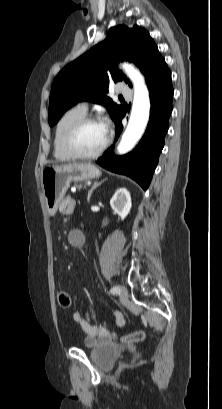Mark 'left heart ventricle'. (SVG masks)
Wrapping results in <instances>:
<instances>
[{"mask_svg":"<svg viewBox=\"0 0 222 409\" xmlns=\"http://www.w3.org/2000/svg\"><path fill=\"white\" fill-rule=\"evenodd\" d=\"M107 133L102 123H90L85 125L75 138V146L82 153H94L104 144Z\"/></svg>","mask_w":222,"mask_h":409,"instance_id":"left-heart-ventricle-1","label":"left heart ventricle"}]
</instances>
